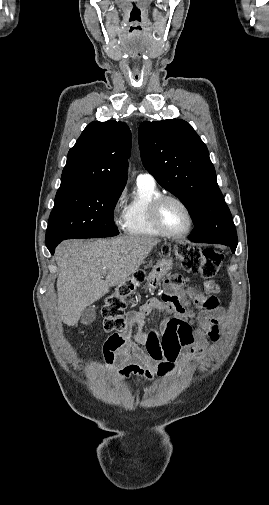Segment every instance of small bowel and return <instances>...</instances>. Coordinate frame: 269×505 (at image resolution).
Returning a JSON list of instances; mask_svg holds the SVG:
<instances>
[{"label":"small bowel","mask_w":269,"mask_h":505,"mask_svg":"<svg viewBox=\"0 0 269 505\" xmlns=\"http://www.w3.org/2000/svg\"><path fill=\"white\" fill-rule=\"evenodd\" d=\"M193 279H201V274H190ZM181 278L171 282L172 290L178 289ZM206 283L205 294L174 295L165 292L148 298L138 311L127 315L130 329L127 333L109 337L103 346L106 364L114 368L120 366L117 374L120 378L136 376L149 379L153 371L167 374L175 370L176 361L185 351L193 358H199L209 349V340L218 341L223 309L219 306L216 294L219 288L215 281ZM193 304L198 309L195 313L189 308ZM153 311V312H152ZM174 315L160 325L159 331L144 332L148 324L147 316ZM135 328L136 332L132 329ZM145 346V350L141 348Z\"/></svg>","instance_id":"1"}]
</instances>
